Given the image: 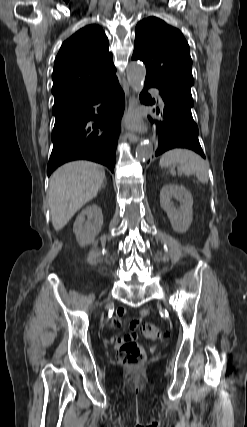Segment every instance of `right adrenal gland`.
I'll use <instances>...</instances> for the list:
<instances>
[{"instance_id": "2a0ac1e0", "label": "right adrenal gland", "mask_w": 247, "mask_h": 427, "mask_svg": "<svg viewBox=\"0 0 247 427\" xmlns=\"http://www.w3.org/2000/svg\"><path fill=\"white\" fill-rule=\"evenodd\" d=\"M106 182L102 184V188H105Z\"/></svg>"}]
</instances>
